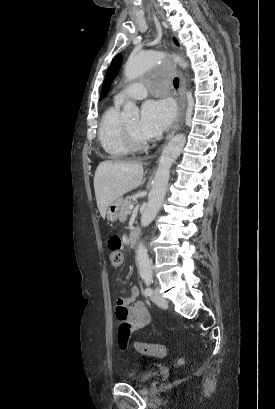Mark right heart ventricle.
Masks as SVG:
<instances>
[{
	"label": "right heart ventricle",
	"instance_id": "e07e8e85",
	"mask_svg": "<svg viewBox=\"0 0 275 409\" xmlns=\"http://www.w3.org/2000/svg\"><path fill=\"white\" fill-rule=\"evenodd\" d=\"M123 124L118 104L107 109L100 120L98 140L110 157H122L130 153L124 138Z\"/></svg>",
	"mask_w": 275,
	"mask_h": 409
}]
</instances>
